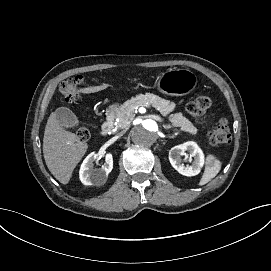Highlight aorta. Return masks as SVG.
I'll list each match as a JSON object with an SVG mask.
<instances>
[{
  "label": "aorta",
  "mask_w": 271,
  "mask_h": 271,
  "mask_svg": "<svg viewBox=\"0 0 271 271\" xmlns=\"http://www.w3.org/2000/svg\"><path fill=\"white\" fill-rule=\"evenodd\" d=\"M159 133V125L153 119L140 120L130 131L133 143L146 147L156 142Z\"/></svg>",
  "instance_id": "obj_1"
}]
</instances>
